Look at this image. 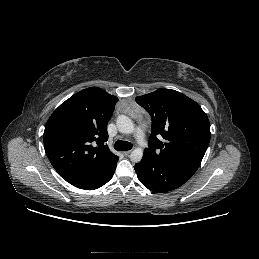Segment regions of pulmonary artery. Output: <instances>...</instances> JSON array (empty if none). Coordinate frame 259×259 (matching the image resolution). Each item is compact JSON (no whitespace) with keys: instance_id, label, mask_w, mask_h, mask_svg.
Here are the masks:
<instances>
[{"instance_id":"pulmonary-artery-1","label":"pulmonary artery","mask_w":259,"mask_h":259,"mask_svg":"<svg viewBox=\"0 0 259 259\" xmlns=\"http://www.w3.org/2000/svg\"><path fill=\"white\" fill-rule=\"evenodd\" d=\"M135 136H136L137 141L141 145H145L144 132L141 128L136 129Z\"/></svg>"}]
</instances>
